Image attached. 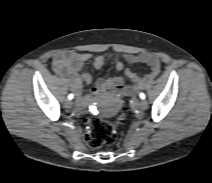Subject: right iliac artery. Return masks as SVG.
<instances>
[{"instance_id":"82829eb1","label":"right iliac artery","mask_w":212,"mask_h":183,"mask_svg":"<svg viewBox=\"0 0 212 183\" xmlns=\"http://www.w3.org/2000/svg\"><path fill=\"white\" fill-rule=\"evenodd\" d=\"M73 98H74V95H73V94H69V95H68V99H69V100H71V99H73Z\"/></svg>"}]
</instances>
